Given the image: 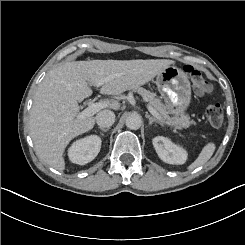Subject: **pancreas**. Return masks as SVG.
<instances>
[{
  "label": "pancreas",
  "instance_id": "1",
  "mask_svg": "<svg viewBox=\"0 0 245 245\" xmlns=\"http://www.w3.org/2000/svg\"><path fill=\"white\" fill-rule=\"evenodd\" d=\"M133 91L140 94L144 101L148 102L161 116V121L179 128H188L191 124H196L190 120L188 115L179 113L176 109L164 105L160 98L156 97L155 93L150 92L142 87H136ZM172 114L173 116H170Z\"/></svg>",
  "mask_w": 245,
  "mask_h": 245
}]
</instances>
